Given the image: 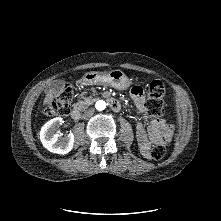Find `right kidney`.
Listing matches in <instances>:
<instances>
[{
	"label": "right kidney",
	"instance_id": "1",
	"mask_svg": "<svg viewBox=\"0 0 221 221\" xmlns=\"http://www.w3.org/2000/svg\"><path fill=\"white\" fill-rule=\"evenodd\" d=\"M62 122L61 117H56L45 123L40 130V140L48 151L64 155L72 150L74 135L70 132L68 135L61 137L56 132L58 125Z\"/></svg>",
	"mask_w": 221,
	"mask_h": 221
}]
</instances>
